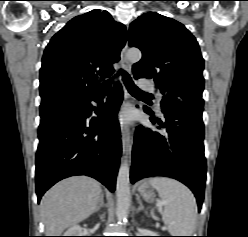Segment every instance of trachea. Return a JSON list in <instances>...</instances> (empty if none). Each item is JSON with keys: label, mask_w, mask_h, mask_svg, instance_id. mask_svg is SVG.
<instances>
[{"label": "trachea", "mask_w": 248, "mask_h": 237, "mask_svg": "<svg viewBox=\"0 0 248 237\" xmlns=\"http://www.w3.org/2000/svg\"><path fill=\"white\" fill-rule=\"evenodd\" d=\"M119 74L122 75L123 77V81L127 87V89L129 90V92L133 95H140V96H147V97H151V94H148L142 90H140L132 81L131 77L128 75V73L125 70H120ZM110 87L109 86H105L104 91H109Z\"/></svg>", "instance_id": "1"}]
</instances>
